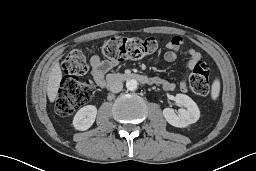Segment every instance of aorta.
<instances>
[{"mask_svg":"<svg viewBox=\"0 0 256 171\" xmlns=\"http://www.w3.org/2000/svg\"><path fill=\"white\" fill-rule=\"evenodd\" d=\"M138 87V82L135 79L127 80L126 82V88L129 91H135Z\"/></svg>","mask_w":256,"mask_h":171,"instance_id":"obj_1","label":"aorta"}]
</instances>
